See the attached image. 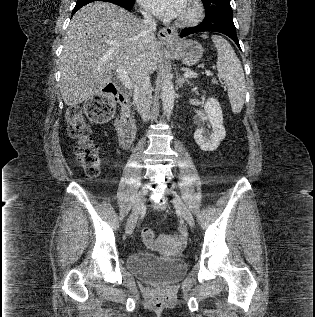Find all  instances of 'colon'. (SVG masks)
<instances>
[{
	"label": "colon",
	"mask_w": 315,
	"mask_h": 317,
	"mask_svg": "<svg viewBox=\"0 0 315 317\" xmlns=\"http://www.w3.org/2000/svg\"><path fill=\"white\" fill-rule=\"evenodd\" d=\"M115 100L114 90L105 89L85 103L84 113L91 120L107 121L114 114ZM84 113L78 106H71L67 109L66 120L69 124L70 136L77 141L76 156L78 162L88 176L95 177L99 174L101 159L99 148L93 141L92 131L86 122ZM141 237L145 244L154 245L155 234L152 229L143 228Z\"/></svg>",
	"instance_id": "obj_1"
}]
</instances>
